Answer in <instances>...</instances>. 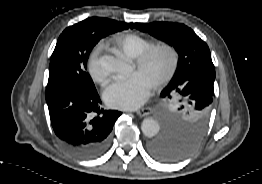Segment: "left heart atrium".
Returning <instances> with one entry per match:
<instances>
[{
  "label": "left heart atrium",
  "mask_w": 262,
  "mask_h": 184,
  "mask_svg": "<svg viewBox=\"0 0 262 184\" xmlns=\"http://www.w3.org/2000/svg\"><path fill=\"white\" fill-rule=\"evenodd\" d=\"M152 84L139 72L115 81L104 93L106 103L119 109H134L143 104Z\"/></svg>",
  "instance_id": "1"
}]
</instances>
